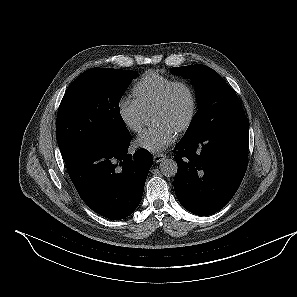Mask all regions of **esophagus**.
<instances>
[{
  "mask_svg": "<svg viewBox=\"0 0 297 297\" xmlns=\"http://www.w3.org/2000/svg\"><path fill=\"white\" fill-rule=\"evenodd\" d=\"M166 158L165 154H156L153 156L154 162L159 163Z\"/></svg>",
  "mask_w": 297,
  "mask_h": 297,
  "instance_id": "esophagus-1",
  "label": "esophagus"
}]
</instances>
